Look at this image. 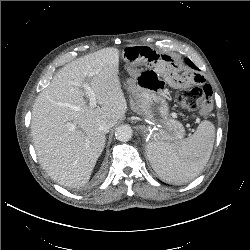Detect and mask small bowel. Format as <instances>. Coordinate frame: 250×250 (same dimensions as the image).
<instances>
[{"mask_svg":"<svg viewBox=\"0 0 250 250\" xmlns=\"http://www.w3.org/2000/svg\"><path fill=\"white\" fill-rule=\"evenodd\" d=\"M124 58L126 60L127 69L130 73L136 74L159 60V56L150 49L143 47H128L125 50ZM178 82L183 87H189L193 84H201L203 76L200 74H193L185 78H179Z\"/></svg>","mask_w":250,"mask_h":250,"instance_id":"obj_1","label":"small bowel"}]
</instances>
